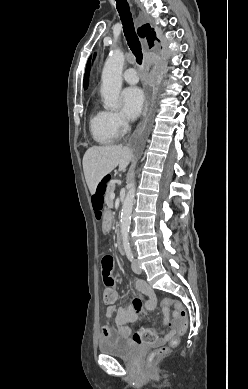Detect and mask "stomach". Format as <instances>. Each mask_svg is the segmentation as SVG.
I'll list each match as a JSON object with an SVG mask.
<instances>
[{"mask_svg":"<svg viewBox=\"0 0 248 389\" xmlns=\"http://www.w3.org/2000/svg\"><path fill=\"white\" fill-rule=\"evenodd\" d=\"M102 212L104 213L102 215V218L104 219L103 224L105 225L103 227V234L104 235H111L112 231L114 230V227L112 226L114 224V221L116 219V214L112 213L111 207H104L102 209Z\"/></svg>","mask_w":248,"mask_h":389,"instance_id":"0dacf381","label":"stomach"}]
</instances>
